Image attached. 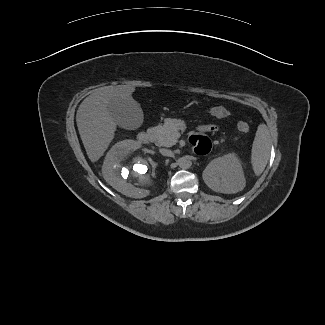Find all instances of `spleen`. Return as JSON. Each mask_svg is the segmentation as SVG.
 Here are the masks:
<instances>
[{
	"instance_id": "spleen-1",
	"label": "spleen",
	"mask_w": 325,
	"mask_h": 325,
	"mask_svg": "<svg viewBox=\"0 0 325 325\" xmlns=\"http://www.w3.org/2000/svg\"><path fill=\"white\" fill-rule=\"evenodd\" d=\"M270 134L265 124H260L256 131L251 151V164L256 176L264 171L270 157Z\"/></svg>"
}]
</instances>
